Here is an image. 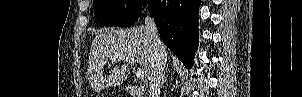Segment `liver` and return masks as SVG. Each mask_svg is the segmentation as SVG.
<instances>
[{
	"label": "liver",
	"instance_id": "liver-1",
	"mask_svg": "<svg viewBox=\"0 0 302 97\" xmlns=\"http://www.w3.org/2000/svg\"><path fill=\"white\" fill-rule=\"evenodd\" d=\"M152 54L151 39L146 27L102 29L93 39L89 54L87 76L93 90L100 92L108 86L120 85L127 79V64L116 66L107 78L103 76L104 66L118 56L134 58L148 78L153 61ZM118 61L126 60L113 62Z\"/></svg>",
	"mask_w": 302,
	"mask_h": 97
}]
</instances>
